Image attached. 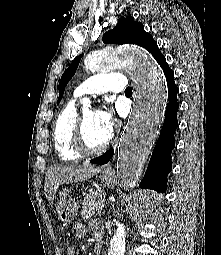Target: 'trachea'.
Instances as JSON below:
<instances>
[{"label": "trachea", "mask_w": 221, "mask_h": 255, "mask_svg": "<svg viewBox=\"0 0 221 255\" xmlns=\"http://www.w3.org/2000/svg\"><path fill=\"white\" fill-rule=\"evenodd\" d=\"M125 94H132V89L130 87H127L125 89Z\"/></svg>", "instance_id": "obj_1"}]
</instances>
